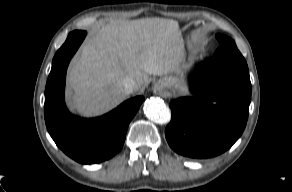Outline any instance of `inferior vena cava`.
Here are the masks:
<instances>
[{"label":"inferior vena cava","instance_id":"inferior-vena-cava-1","mask_svg":"<svg viewBox=\"0 0 292 192\" xmlns=\"http://www.w3.org/2000/svg\"><path fill=\"white\" fill-rule=\"evenodd\" d=\"M126 94H131L135 90V81L132 78H125L121 83Z\"/></svg>","mask_w":292,"mask_h":192}]
</instances>
